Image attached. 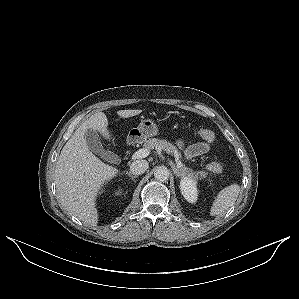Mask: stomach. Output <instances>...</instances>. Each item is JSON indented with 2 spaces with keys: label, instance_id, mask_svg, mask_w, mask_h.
<instances>
[{
  "label": "stomach",
  "instance_id": "stomach-1",
  "mask_svg": "<svg viewBox=\"0 0 299 299\" xmlns=\"http://www.w3.org/2000/svg\"><path fill=\"white\" fill-rule=\"evenodd\" d=\"M159 133L158 126L151 119L141 120L137 128H132L128 133V141L140 143L146 141L149 137L156 136Z\"/></svg>",
  "mask_w": 299,
  "mask_h": 299
}]
</instances>
